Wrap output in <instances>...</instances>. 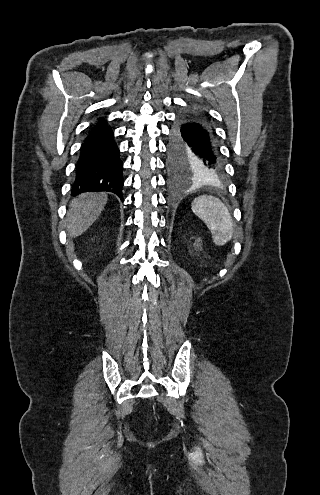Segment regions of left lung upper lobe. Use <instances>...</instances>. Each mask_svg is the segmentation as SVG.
I'll use <instances>...</instances> for the list:
<instances>
[{"mask_svg":"<svg viewBox=\"0 0 320 495\" xmlns=\"http://www.w3.org/2000/svg\"><path fill=\"white\" fill-rule=\"evenodd\" d=\"M168 167L174 176L207 175L208 172L179 125L174 127L171 135Z\"/></svg>","mask_w":320,"mask_h":495,"instance_id":"left-lung-upper-lobe-1","label":"left lung upper lobe"}]
</instances>
